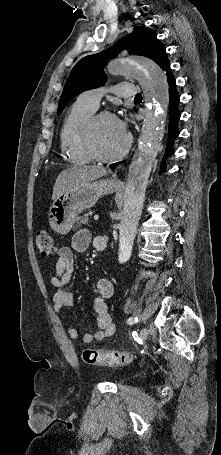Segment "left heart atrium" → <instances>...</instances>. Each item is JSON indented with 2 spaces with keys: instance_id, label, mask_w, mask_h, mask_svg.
I'll return each instance as SVG.
<instances>
[{
  "instance_id": "left-heart-atrium-1",
  "label": "left heart atrium",
  "mask_w": 221,
  "mask_h": 455,
  "mask_svg": "<svg viewBox=\"0 0 221 455\" xmlns=\"http://www.w3.org/2000/svg\"><path fill=\"white\" fill-rule=\"evenodd\" d=\"M118 120V124L121 128V130L125 133H127V127H128V124H127V120H121V119H117Z\"/></svg>"
}]
</instances>
